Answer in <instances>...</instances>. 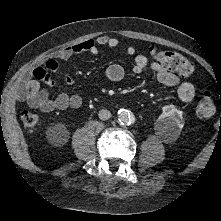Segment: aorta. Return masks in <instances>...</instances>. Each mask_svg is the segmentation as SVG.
Returning a JSON list of instances; mask_svg holds the SVG:
<instances>
[{"label":"aorta","instance_id":"762f6f07","mask_svg":"<svg viewBox=\"0 0 221 221\" xmlns=\"http://www.w3.org/2000/svg\"><path fill=\"white\" fill-rule=\"evenodd\" d=\"M117 114L119 122L123 125H129L134 121V116L129 110L120 109Z\"/></svg>","mask_w":221,"mask_h":221}]
</instances>
